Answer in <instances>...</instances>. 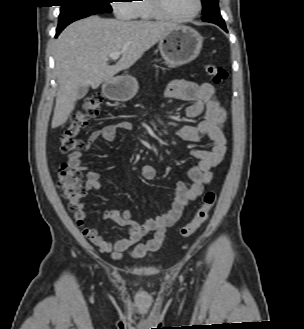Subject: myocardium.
<instances>
[{"label":"myocardium","instance_id":"f54148a6","mask_svg":"<svg viewBox=\"0 0 304 329\" xmlns=\"http://www.w3.org/2000/svg\"><path fill=\"white\" fill-rule=\"evenodd\" d=\"M196 2H197V7L192 14L186 16H176L170 14L166 10L163 4V0H149L151 9L157 18L161 20L173 21V22H185L196 18L200 14L203 7L202 0H196Z\"/></svg>","mask_w":304,"mask_h":329}]
</instances>
